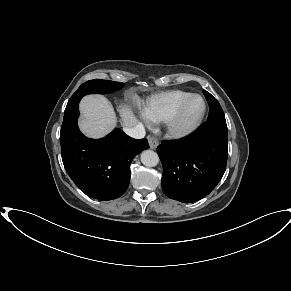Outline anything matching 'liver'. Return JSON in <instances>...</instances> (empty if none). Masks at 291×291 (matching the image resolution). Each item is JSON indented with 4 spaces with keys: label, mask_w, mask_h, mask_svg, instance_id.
<instances>
[{
    "label": "liver",
    "mask_w": 291,
    "mask_h": 291,
    "mask_svg": "<svg viewBox=\"0 0 291 291\" xmlns=\"http://www.w3.org/2000/svg\"><path fill=\"white\" fill-rule=\"evenodd\" d=\"M80 111L83 118L79 122V127L84 134L92 138L106 135L117 121L113 107L103 96L84 97L80 103ZM120 115L126 127H133L138 122L128 107L121 108Z\"/></svg>",
    "instance_id": "1"
}]
</instances>
